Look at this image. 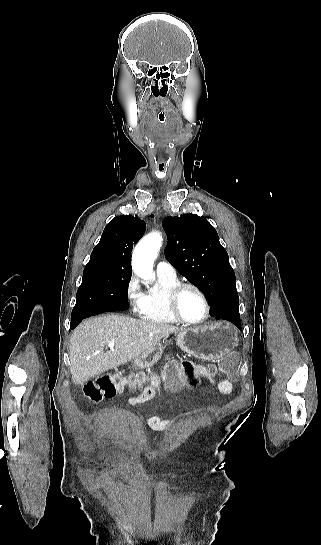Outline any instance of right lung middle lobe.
<instances>
[{"label":"right lung middle lobe","mask_w":321,"mask_h":545,"mask_svg":"<svg viewBox=\"0 0 321 545\" xmlns=\"http://www.w3.org/2000/svg\"><path fill=\"white\" fill-rule=\"evenodd\" d=\"M130 279L131 273H113L102 269L84 270L71 319L109 311L116 300L128 296Z\"/></svg>","instance_id":"dd1d6c3e"}]
</instances>
